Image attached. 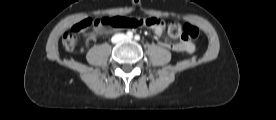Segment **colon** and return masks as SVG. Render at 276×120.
<instances>
[{"mask_svg":"<svg viewBox=\"0 0 276 120\" xmlns=\"http://www.w3.org/2000/svg\"><path fill=\"white\" fill-rule=\"evenodd\" d=\"M163 22L159 18L150 17V18H130L124 16H115V17H104L98 19H84L75 25L66 32L62 37V45L67 51H72L75 48L77 43L78 36L81 32L87 30L90 27H107V28H124V27H157ZM169 34L173 37H179L185 42H190L196 40L199 37V30L197 27L185 24L181 25L178 22H172L168 28Z\"/></svg>","mask_w":276,"mask_h":120,"instance_id":"5ec220e1","label":"colon"}]
</instances>
